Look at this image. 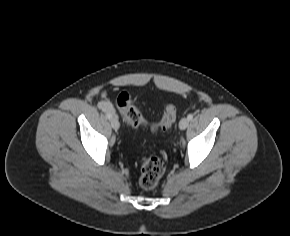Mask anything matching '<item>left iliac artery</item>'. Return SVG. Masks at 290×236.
Here are the masks:
<instances>
[{
    "label": "left iliac artery",
    "mask_w": 290,
    "mask_h": 236,
    "mask_svg": "<svg viewBox=\"0 0 290 236\" xmlns=\"http://www.w3.org/2000/svg\"><path fill=\"white\" fill-rule=\"evenodd\" d=\"M187 118H188V120H192V119H193V114H189V115L187 116Z\"/></svg>",
    "instance_id": "1"
}]
</instances>
